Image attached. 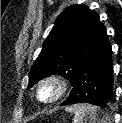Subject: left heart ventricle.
I'll return each instance as SVG.
<instances>
[{
	"label": "left heart ventricle",
	"instance_id": "b2bd125f",
	"mask_svg": "<svg viewBox=\"0 0 122 123\" xmlns=\"http://www.w3.org/2000/svg\"><path fill=\"white\" fill-rule=\"evenodd\" d=\"M57 88L54 84H47L41 89V97L43 99H50L56 94Z\"/></svg>",
	"mask_w": 122,
	"mask_h": 123
}]
</instances>
